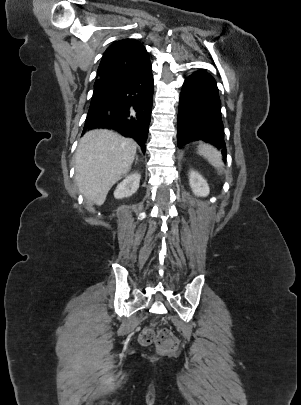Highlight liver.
Listing matches in <instances>:
<instances>
[{
	"mask_svg": "<svg viewBox=\"0 0 301 405\" xmlns=\"http://www.w3.org/2000/svg\"><path fill=\"white\" fill-rule=\"evenodd\" d=\"M136 143L110 130H92L81 138L75 153L79 192L101 206L111 187L126 175L134 161Z\"/></svg>",
	"mask_w": 301,
	"mask_h": 405,
	"instance_id": "liver-1",
	"label": "liver"
}]
</instances>
